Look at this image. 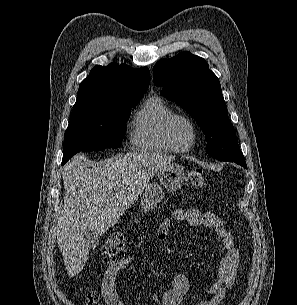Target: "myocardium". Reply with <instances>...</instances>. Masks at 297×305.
I'll list each match as a JSON object with an SVG mask.
<instances>
[{"label":"myocardium","mask_w":297,"mask_h":305,"mask_svg":"<svg viewBox=\"0 0 297 305\" xmlns=\"http://www.w3.org/2000/svg\"><path fill=\"white\" fill-rule=\"evenodd\" d=\"M178 120H183V121L187 122L191 128V139H190V142L186 146H181L177 142V140L174 136V133H173V126H174L175 122H177ZM165 134H166V137H167L169 143L173 146V148L177 152H187L192 149V147L194 146V144L197 140L198 129H197V125L194 122V120L191 119L189 116L184 115V114L175 113L167 120V122L165 124Z\"/></svg>","instance_id":"myocardium-1"}]
</instances>
